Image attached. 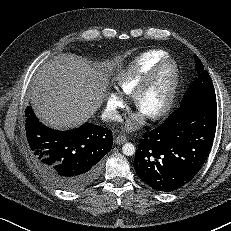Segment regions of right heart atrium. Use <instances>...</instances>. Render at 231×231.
<instances>
[{
  "label": "right heart atrium",
  "instance_id": "obj_1",
  "mask_svg": "<svg viewBox=\"0 0 231 231\" xmlns=\"http://www.w3.org/2000/svg\"><path fill=\"white\" fill-rule=\"evenodd\" d=\"M106 103L107 115L114 120H118L120 118L118 110L123 108L125 103L122 94L116 90L110 91L107 94Z\"/></svg>",
  "mask_w": 231,
  "mask_h": 231
}]
</instances>
